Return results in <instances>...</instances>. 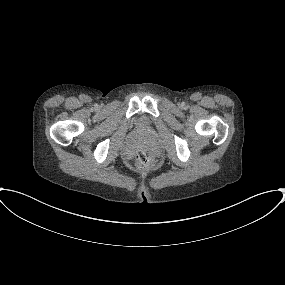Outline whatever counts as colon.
Listing matches in <instances>:
<instances>
[{
  "label": "colon",
  "mask_w": 285,
  "mask_h": 285,
  "mask_svg": "<svg viewBox=\"0 0 285 285\" xmlns=\"http://www.w3.org/2000/svg\"><path fill=\"white\" fill-rule=\"evenodd\" d=\"M157 164L152 150L145 145H141L135 151L134 166L142 169H153Z\"/></svg>",
  "instance_id": "1"
}]
</instances>
